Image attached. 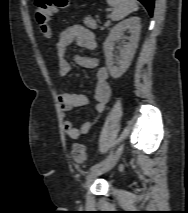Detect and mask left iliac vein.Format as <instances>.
I'll return each instance as SVG.
<instances>
[{"label": "left iliac vein", "instance_id": "obj_1", "mask_svg": "<svg viewBox=\"0 0 188 213\" xmlns=\"http://www.w3.org/2000/svg\"><path fill=\"white\" fill-rule=\"evenodd\" d=\"M123 149H124V146L123 144H121L116 150V152L112 155V157L107 162H105L101 167L97 168L96 170L88 174V176L86 177L85 185H84L86 189L89 187L90 183L92 182L94 178L111 170L116 165V163L118 162V160L120 159L122 155Z\"/></svg>", "mask_w": 188, "mask_h": 213}]
</instances>
